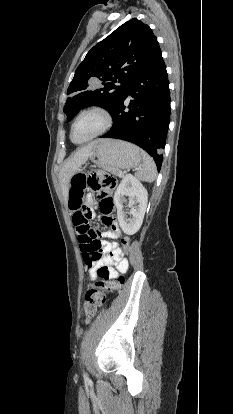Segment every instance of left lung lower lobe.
<instances>
[{
    "instance_id": "obj_1",
    "label": "left lung lower lobe",
    "mask_w": 233,
    "mask_h": 414,
    "mask_svg": "<svg viewBox=\"0 0 233 414\" xmlns=\"http://www.w3.org/2000/svg\"><path fill=\"white\" fill-rule=\"evenodd\" d=\"M128 95L134 99L127 106V112L124 100ZM111 116L113 126L102 137L138 145L153 157L160 170L163 158L161 149L165 147L170 122L169 82L161 50L149 66L132 80Z\"/></svg>"
}]
</instances>
